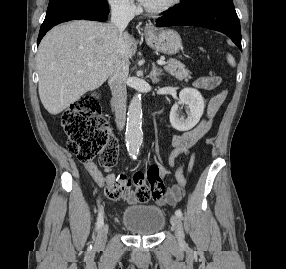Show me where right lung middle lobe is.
Instances as JSON below:
<instances>
[{
	"instance_id": "dd1d6c3e",
	"label": "right lung middle lobe",
	"mask_w": 286,
	"mask_h": 269,
	"mask_svg": "<svg viewBox=\"0 0 286 269\" xmlns=\"http://www.w3.org/2000/svg\"><path fill=\"white\" fill-rule=\"evenodd\" d=\"M79 8L109 13V7L106 0H50L46 17Z\"/></svg>"
}]
</instances>
